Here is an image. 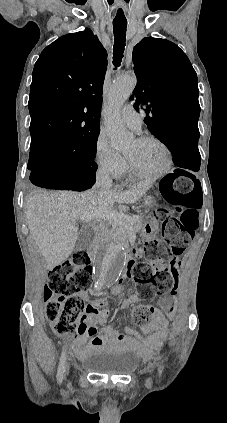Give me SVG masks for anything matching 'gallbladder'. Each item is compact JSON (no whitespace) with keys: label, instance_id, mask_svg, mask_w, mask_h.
Segmentation results:
<instances>
[{"label":"gallbladder","instance_id":"1","mask_svg":"<svg viewBox=\"0 0 227 423\" xmlns=\"http://www.w3.org/2000/svg\"><path fill=\"white\" fill-rule=\"evenodd\" d=\"M95 231L93 227H83L80 229L78 239L75 243L74 251H82V249H87L91 243H93Z\"/></svg>","mask_w":227,"mask_h":423}]
</instances>
